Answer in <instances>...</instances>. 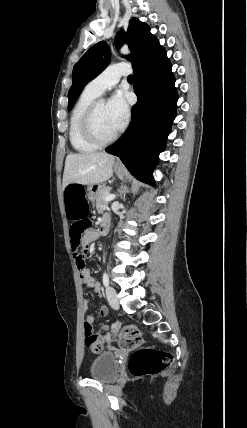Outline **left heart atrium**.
Segmentation results:
<instances>
[{
	"mask_svg": "<svg viewBox=\"0 0 247 428\" xmlns=\"http://www.w3.org/2000/svg\"><path fill=\"white\" fill-rule=\"evenodd\" d=\"M108 115L117 129L124 126L128 118V105L122 92L115 93L106 103Z\"/></svg>",
	"mask_w": 247,
	"mask_h": 428,
	"instance_id": "1",
	"label": "left heart atrium"
}]
</instances>
